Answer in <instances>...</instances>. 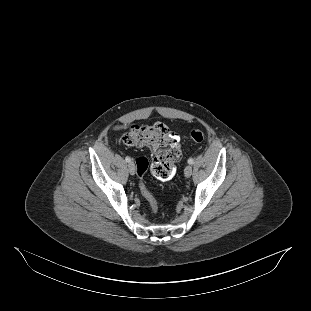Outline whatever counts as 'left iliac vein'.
Returning a JSON list of instances; mask_svg holds the SVG:
<instances>
[{"label": "left iliac vein", "mask_w": 311, "mask_h": 311, "mask_svg": "<svg viewBox=\"0 0 311 311\" xmlns=\"http://www.w3.org/2000/svg\"><path fill=\"white\" fill-rule=\"evenodd\" d=\"M184 175L185 177H190L192 175V166L188 165L184 169Z\"/></svg>", "instance_id": "obj_1"}]
</instances>
